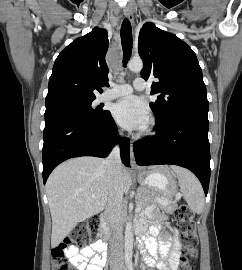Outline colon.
I'll return each instance as SVG.
<instances>
[{"label": "colon", "instance_id": "colon-1", "mask_svg": "<svg viewBox=\"0 0 242 270\" xmlns=\"http://www.w3.org/2000/svg\"><path fill=\"white\" fill-rule=\"evenodd\" d=\"M175 216L180 222L182 240V258L180 270H194L193 260L198 255V238L195 230L194 213L186 205L179 206ZM99 222L89 220L80 222L69 233L66 240L53 250V270H74L75 265L70 261L66 250L70 245L84 244L97 237Z\"/></svg>", "mask_w": 242, "mask_h": 270}]
</instances>
